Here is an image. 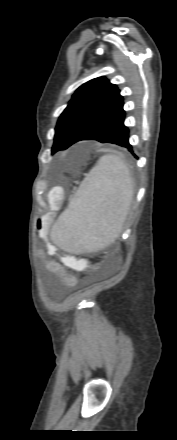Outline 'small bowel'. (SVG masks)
I'll return each instance as SVG.
<instances>
[{"mask_svg": "<svg viewBox=\"0 0 177 440\" xmlns=\"http://www.w3.org/2000/svg\"><path fill=\"white\" fill-rule=\"evenodd\" d=\"M63 258L67 261H70L72 256L66 255L63 256ZM46 267L50 272L58 275L65 286H72L74 284V278L66 274L61 263L55 260H48L46 261Z\"/></svg>", "mask_w": 177, "mask_h": 440, "instance_id": "1", "label": "small bowel"}]
</instances>
